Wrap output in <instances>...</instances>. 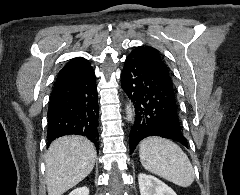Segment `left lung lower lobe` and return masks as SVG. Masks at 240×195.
I'll return each mask as SVG.
<instances>
[{
    "label": "left lung lower lobe",
    "instance_id": "0a47b994",
    "mask_svg": "<svg viewBox=\"0 0 240 195\" xmlns=\"http://www.w3.org/2000/svg\"><path fill=\"white\" fill-rule=\"evenodd\" d=\"M122 88L135 107L130 152L148 136H162L188 147L181 132L171 77L141 57L128 55L121 74Z\"/></svg>",
    "mask_w": 240,
    "mask_h": 195
}]
</instances>
